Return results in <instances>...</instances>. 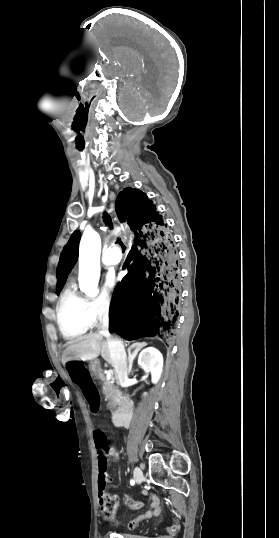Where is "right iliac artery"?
Here are the masks:
<instances>
[{
	"label": "right iliac artery",
	"instance_id": "right-iliac-artery-1",
	"mask_svg": "<svg viewBox=\"0 0 279 538\" xmlns=\"http://www.w3.org/2000/svg\"><path fill=\"white\" fill-rule=\"evenodd\" d=\"M135 481L133 479L130 480V484L134 485Z\"/></svg>",
	"mask_w": 279,
	"mask_h": 538
}]
</instances>
